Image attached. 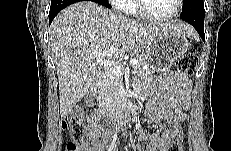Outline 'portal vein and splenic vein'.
<instances>
[{
	"instance_id": "portal-vein-and-splenic-vein-1",
	"label": "portal vein and splenic vein",
	"mask_w": 231,
	"mask_h": 151,
	"mask_svg": "<svg viewBox=\"0 0 231 151\" xmlns=\"http://www.w3.org/2000/svg\"><path fill=\"white\" fill-rule=\"evenodd\" d=\"M114 49H111L109 51H103V52H94L93 55L96 58V61L101 65L104 66L109 72L114 73L116 75H121L124 69V66L106 59L107 56L109 55L110 52H113ZM138 63V59L134 58L132 60H130V65L131 66H135Z\"/></svg>"
}]
</instances>
